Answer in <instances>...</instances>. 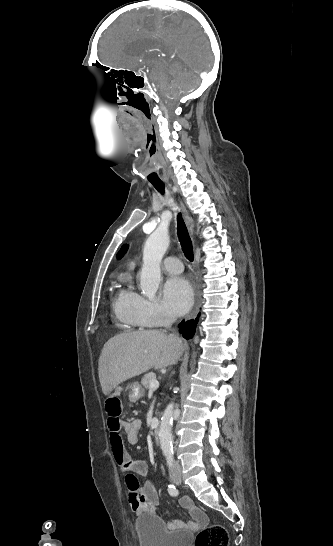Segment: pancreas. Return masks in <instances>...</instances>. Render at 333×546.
Instances as JSON below:
<instances>
[{
    "mask_svg": "<svg viewBox=\"0 0 333 546\" xmlns=\"http://www.w3.org/2000/svg\"><path fill=\"white\" fill-rule=\"evenodd\" d=\"M152 380H156V375L153 372L147 373L143 376L141 384L144 386L145 389H149V385Z\"/></svg>",
    "mask_w": 333,
    "mask_h": 546,
    "instance_id": "obj_1",
    "label": "pancreas"
}]
</instances>
